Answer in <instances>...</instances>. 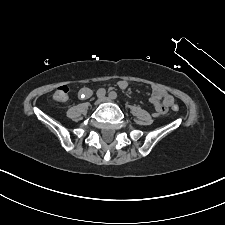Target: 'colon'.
Returning a JSON list of instances; mask_svg holds the SVG:
<instances>
[{
    "label": "colon",
    "instance_id": "colon-1",
    "mask_svg": "<svg viewBox=\"0 0 225 225\" xmlns=\"http://www.w3.org/2000/svg\"><path fill=\"white\" fill-rule=\"evenodd\" d=\"M68 92H69V89L67 85H60L52 93L51 100L56 103H64L68 99ZM171 109L174 112H178L180 107L177 104H174L172 105ZM160 113L162 114L166 113V108H161Z\"/></svg>",
    "mask_w": 225,
    "mask_h": 225
}]
</instances>
